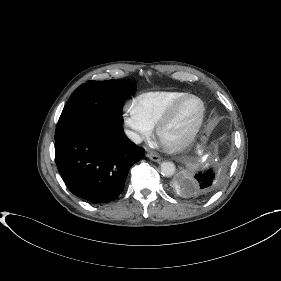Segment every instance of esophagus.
Instances as JSON below:
<instances>
[{
	"instance_id": "34e87169",
	"label": "esophagus",
	"mask_w": 281,
	"mask_h": 281,
	"mask_svg": "<svg viewBox=\"0 0 281 281\" xmlns=\"http://www.w3.org/2000/svg\"><path fill=\"white\" fill-rule=\"evenodd\" d=\"M147 156L154 162H159L162 159L158 154L155 153H148Z\"/></svg>"
}]
</instances>
